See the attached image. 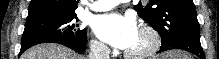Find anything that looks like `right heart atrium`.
Instances as JSON below:
<instances>
[{
  "mask_svg": "<svg viewBox=\"0 0 219 59\" xmlns=\"http://www.w3.org/2000/svg\"><path fill=\"white\" fill-rule=\"evenodd\" d=\"M91 48L95 56H105L107 54V47L99 40H93Z\"/></svg>",
  "mask_w": 219,
  "mask_h": 59,
  "instance_id": "right-heart-atrium-1",
  "label": "right heart atrium"
}]
</instances>
